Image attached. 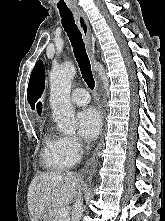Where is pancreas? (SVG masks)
Masks as SVG:
<instances>
[{
  "mask_svg": "<svg viewBox=\"0 0 165 221\" xmlns=\"http://www.w3.org/2000/svg\"><path fill=\"white\" fill-rule=\"evenodd\" d=\"M57 212L52 215L51 221H70L69 216H67L66 218H61Z\"/></svg>",
  "mask_w": 165,
  "mask_h": 221,
  "instance_id": "cf45deb5",
  "label": "pancreas"
}]
</instances>
